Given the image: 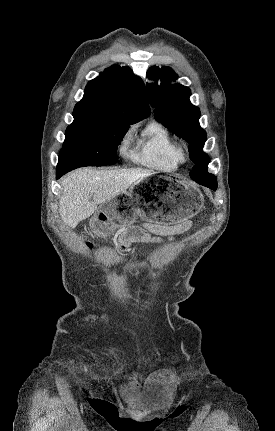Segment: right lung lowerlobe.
<instances>
[{"label": "right lung lower lobe", "instance_id": "right-lung-lower-lobe-1", "mask_svg": "<svg viewBox=\"0 0 275 431\" xmlns=\"http://www.w3.org/2000/svg\"><path fill=\"white\" fill-rule=\"evenodd\" d=\"M67 172H68L67 170H59V169H57V175H56V177L60 178L62 175H64Z\"/></svg>", "mask_w": 275, "mask_h": 431}]
</instances>
